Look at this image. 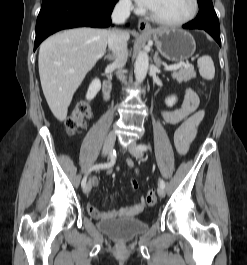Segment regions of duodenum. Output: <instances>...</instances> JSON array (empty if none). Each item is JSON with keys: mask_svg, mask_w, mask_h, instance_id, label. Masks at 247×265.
I'll use <instances>...</instances> for the list:
<instances>
[{"mask_svg": "<svg viewBox=\"0 0 247 265\" xmlns=\"http://www.w3.org/2000/svg\"><path fill=\"white\" fill-rule=\"evenodd\" d=\"M111 88H112L111 82L109 80H105L103 84V95L105 99L109 97Z\"/></svg>", "mask_w": 247, "mask_h": 265, "instance_id": "1", "label": "duodenum"}]
</instances>
